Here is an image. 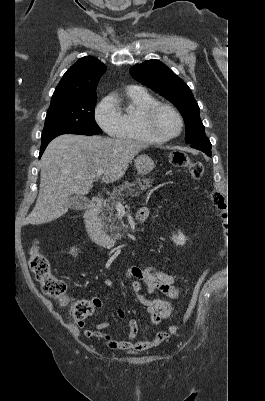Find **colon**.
<instances>
[{
  "instance_id": "colon-1",
  "label": "colon",
  "mask_w": 265,
  "mask_h": 401,
  "mask_svg": "<svg viewBox=\"0 0 265 401\" xmlns=\"http://www.w3.org/2000/svg\"><path fill=\"white\" fill-rule=\"evenodd\" d=\"M170 160L177 168H188L189 174L193 180H199L203 175V165L200 162H195L190 157L181 151H176L171 154ZM210 200L220 214H227V204L223 195L217 191L210 194ZM30 268L34 273L37 281L40 283L42 291L49 297L57 299L63 305L67 306L71 318L83 323L100 304L98 299H82L71 301L67 294V285L60 278L54 276L51 272L50 263L47 257L40 251L37 244H34L31 249ZM207 273L204 272L193 287L191 299L184 315V322H187L191 317L200 292V289L205 281ZM178 326H172L166 332L167 337L174 334L178 330Z\"/></svg>"
}]
</instances>
